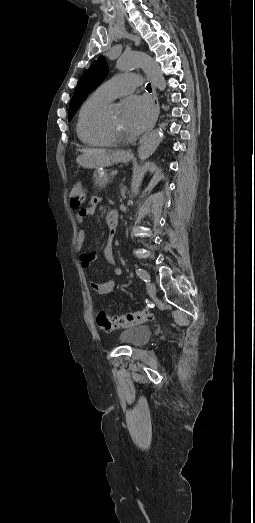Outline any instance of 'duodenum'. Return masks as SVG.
I'll use <instances>...</instances> for the list:
<instances>
[{
  "label": "duodenum",
  "instance_id": "duodenum-1",
  "mask_svg": "<svg viewBox=\"0 0 255 523\" xmlns=\"http://www.w3.org/2000/svg\"><path fill=\"white\" fill-rule=\"evenodd\" d=\"M119 220V214L116 210H111L106 217V223L110 229H115Z\"/></svg>",
  "mask_w": 255,
  "mask_h": 523
}]
</instances>
